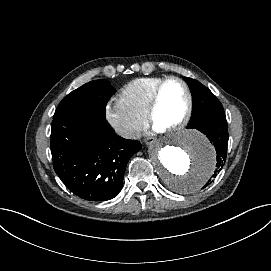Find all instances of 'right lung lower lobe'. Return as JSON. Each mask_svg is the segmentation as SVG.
Listing matches in <instances>:
<instances>
[{
	"label": "right lung lower lobe",
	"instance_id": "1",
	"mask_svg": "<svg viewBox=\"0 0 271 271\" xmlns=\"http://www.w3.org/2000/svg\"><path fill=\"white\" fill-rule=\"evenodd\" d=\"M50 146L56 174L88 201L116 197L129 159L141 149L137 140L116 135L105 115L85 111L53 119Z\"/></svg>",
	"mask_w": 271,
	"mask_h": 271
}]
</instances>
